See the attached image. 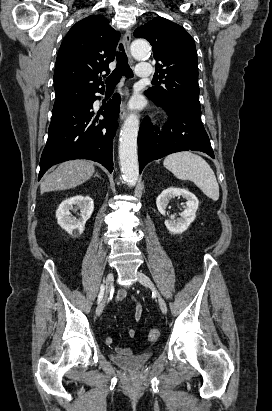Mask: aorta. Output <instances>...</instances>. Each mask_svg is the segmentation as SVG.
<instances>
[{
    "instance_id": "aorta-1",
    "label": "aorta",
    "mask_w": 272,
    "mask_h": 411,
    "mask_svg": "<svg viewBox=\"0 0 272 411\" xmlns=\"http://www.w3.org/2000/svg\"><path fill=\"white\" fill-rule=\"evenodd\" d=\"M131 53L135 58H143L149 55L150 45L145 40H135L131 44ZM139 131V118L136 114H130L124 121L120 133L119 162L124 181L132 187L139 177L137 136Z\"/></svg>"
}]
</instances>
